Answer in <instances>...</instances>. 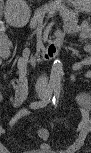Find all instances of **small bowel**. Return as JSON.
<instances>
[{
    "mask_svg": "<svg viewBox=\"0 0 91 153\" xmlns=\"http://www.w3.org/2000/svg\"><path fill=\"white\" fill-rule=\"evenodd\" d=\"M1 56L7 58L9 56V45L1 47ZM11 85L14 88V92L9 95V100L13 106H20L26 99L28 93L27 87V61L24 57L20 58L17 62L16 76L11 81ZM77 104L83 113V119L78 127L77 134L72 142L64 149L58 151L59 153H76L91 131V123L88 117V111L91 106V99L86 92H81L77 96ZM14 123V121L12 122ZM1 136L5 135V130L0 131ZM38 136L42 140L48 138V132L46 130H39ZM3 153H8V149L5 146H1ZM35 153H51L53 150L46 143H41L35 150Z\"/></svg>",
    "mask_w": 91,
    "mask_h": 153,
    "instance_id": "obj_1",
    "label": "small bowel"
}]
</instances>
